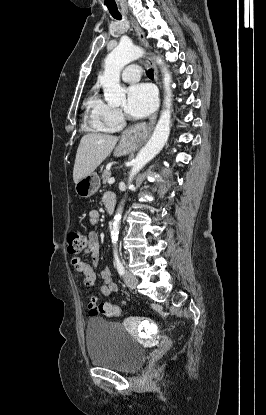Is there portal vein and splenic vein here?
Returning a JSON list of instances; mask_svg holds the SVG:
<instances>
[{"label": "portal vein and splenic vein", "mask_w": 266, "mask_h": 415, "mask_svg": "<svg viewBox=\"0 0 266 415\" xmlns=\"http://www.w3.org/2000/svg\"><path fill=\"white\" fill-rule=\"evenodd\" d=\"M114 182H115V178L114 177L109 178V180H108V183L109 184H113Z\"/></svg>", "instance_id": "1"}]
</instances>
